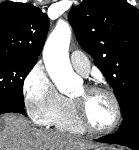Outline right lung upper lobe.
<instances>
[{
    "label": "right lung upper lobe",
    "mask_w": 139,
    "mask_h": 150,
    "mask_svg": "<svg viewBox=\"0 0 139 150\" xmlns=\"http://www.w3.org/2000/svg\"><path fill=\"white\" fill-rule=\"evenodd\" d=\"M49 28V19L31 4H0V54L37 61Z\"/></svg>",
    "instance_id": "obj_1"
}]
</instances>
